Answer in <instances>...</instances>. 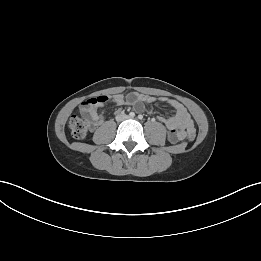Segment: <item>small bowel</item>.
Returning <instances> with one entry per match:
<instances>
[{
	"label": "small bowel",
	"mask_w": 261,
	"mask_h": 261,
	"mask_svg": "<svg viewBox=\"0 0 261 261\" xmlns=\"http://www.w3.org/2000/svg\"><path fill=\"white\" fill-rule=\"evenodd\" d=\"M94 99V98H92ZM89 99L83 102L80 106V112L82 114L89 115L94 125H101L104 121V108L107 104H113L116 106L129 105L136 111L141 112L144 110L145 104H150L156 100L166 103L173 109V114L169 117H162L161 121L167 127L169 131V140L171 142H177L183 140L190 131L194 130L193 121L183 104L180 102L166 98H155L150 95L139 93L115 94L111 96H105V100L102 102H92Z\"/></svg>",
	"instance_id": "c3829d8e"
}]
</instances>
